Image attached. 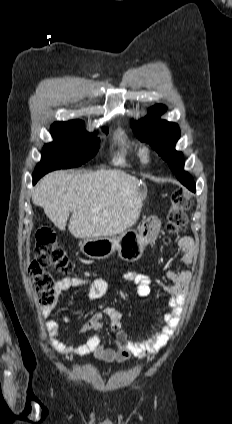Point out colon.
I'll use <instances>...</instances> for the list:
<instances>
[{
    "mask_svg": "<svg viewBox=\"0 0 232 424\" xmlns=\"http://www.w3.org/2000/svg\"><path fill=\"white\" fill-rule=\"evenodd\" d=\"M194 197L192 193L177 188L171 194V204L166 216L165 241L184 231L187 216ZM49 269L62 273H77L74 263L68 258L53 232L41 229L36 235L34 259L29 267V274L34 278V287L38 301L43 307H51L55 301L54 279Z\"/></svg>",
    "mask_w": 232,
    "mask_h": 424,
    "instance_id": "5ec220e1",
    "label": "colon"
}]
</instances>
